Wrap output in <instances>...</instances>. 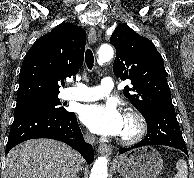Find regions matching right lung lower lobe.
I'll list each match as a JSON object with an SVG mask.
<instances>
[{
	"mask_svg": "<svg viewBox=\"0 0 194 178\" xmlns=\"http://www.w3.org/2000/svg\"><path fill=\"white\" fill-rule=\"evenodd\" d=\"M36 138L62 141L76 149L89 164L93 161V149L84 142L76 116L72 112L60 114L39 108L15 111L6 154L17 144Z\"/></svg>",
	"mask_w": 194,
	"mask_h": 178,
	"instance_id": "1",
	"label": "right lung lower lobe"
}]
</instances>
